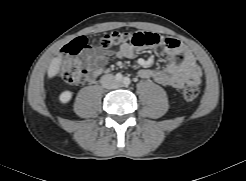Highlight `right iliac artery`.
Instances as JSON below:
<instances>
[{
  "label": "right iliac artery",
  "instance_id": "1",
  "mask_svg": "<svg viewBox=\"0 0 246 181\" xmlns=\"http://www.w3.org/2000/svg\"><path fill=\"white\" fill-rule=\"evenodd\" d=\"M122 79H123V76L121 73L116 74V80L122 81Z\"/></svg>",
  "mask_w": 246,
  "mask_h": 181
}]
</instances>
